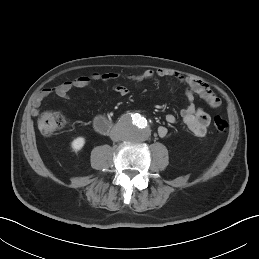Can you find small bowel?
I'll list each match as a JSON object with an SVG mask.
<instances>
[{"mask_svg": "<svg viewBox=\"0 0 259 259\" xmlns=\"http://www.w3.org/2000/svg\"><path fill=\"white\" fill-rule=\"evenodd\" d=\"M155 76L160 78L175 76L180 83L185 85L187 105L181 109L180 115L183 123L194 136L203 137L210 125V117L203 109L195 105L194 95L200 96L210 107L216 108L221 104V100L217 93L207 83L200 79L184 76L168 69H159L156 72L153 70H145L141 73L130 74L127 77L135 83H141L150 80ZM119 77L120 74L117 72H97L80 76L74 80L63 82L54 87L43 89L33 98V111L34 113H37L43 102L52 95L67 99L69 98L70 91L74 88L88 87L95 81L110 82ZM115 91L121 96L128 94V88L121 84L115 86ZM166 121L173 124L176 122V116L169 113L166 115ZM157 133L160 137L164 138L168 135V129L165 126H160Z\"/></svg>", "mask_w": 259, "mask_h": 259, "instance_id": "obj_1", "label": "small bowel"}]
</instances>
